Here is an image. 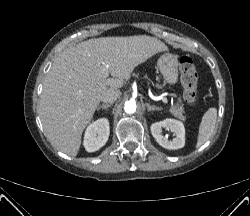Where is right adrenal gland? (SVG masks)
I'll list each match as a JSON object with an SVG mask.
<instances>
[{
    "label": "right adrenal gland",
    "mask_w": 250,
    "mask_h": 216,
    "mask_svg": "<svg viewBox=\"0 0 250 216\" xmlns=\"http://www.w3.org/2000/svg\"><path fill=\"white\" fill-rule=\"evenodd\" d=\"M112 106V104L110 103V104H103V105H101V106H99L98 108H97V110H100V109H108L109 107H111Z\"/></svg>",
    "instance_id": "obj_1"
}]
</instances>
